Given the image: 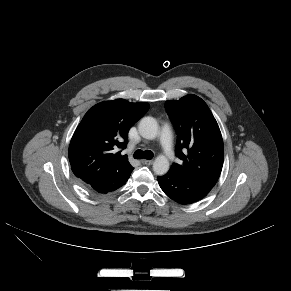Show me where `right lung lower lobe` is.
<instances>
[{
	"label": "right lung lower lobe",
	"mask_w": 291,
	"mask_h": 291,
	"mask_svg": "<svg viewBox=\"0 0 291 291\" xmlns=\"http://www.w3.org/2000/svg\"><path fill=\"white\" fill-rule=\"evenodd\" d=\"M130 174L121 175L116 169H110L81 183L93 195L107 194L123 186L127 182Z\"/></svg>",
	"instance_id": "right-lung-lower-lobe-1"
}]
</instances>
